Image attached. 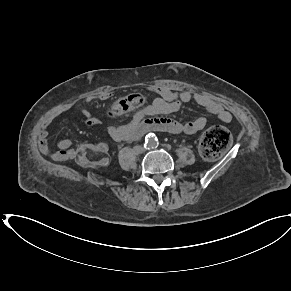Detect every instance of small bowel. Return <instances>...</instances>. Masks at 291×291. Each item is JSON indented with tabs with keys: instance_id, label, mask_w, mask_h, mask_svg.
<instances>
[{
	"instance_id": "1",
	"label": "small bowel",
	"mask_w": 291,
	"mask_h": 291,
	"mask_svg": "<svg viewBox=\"0 0 291 291\" xmlns=\"http://www.w3.org/2000/svg\"><path fill=\"white\" fill-rule=\"evenodd\" d=\"M148 91L156 97L149 105L139 107L134 110L129 122L120 125H113L107 128L108 134L116 142H131L146 132L156 130L165 131L174 134H195L203 130L207 125V118L197 117L188 122L166 117L180 111L182 106L188 102H195L204 108L209 114L216 116L223 123L232 121L231 113L219 102L212 99L204 93H193L189 90L172 91L164 86H151ZM114 97L113 92H104L96 97H88L65 105L59 110L49 114L43 121L38 133V146L40 151L54 161L71 160L75 157V151L72 148L70 139H60L56 142L58 151L51 149L47 143L50 125L63 113L69 110H75L82 114V121L87 126H93L98 123L95 117L87 108V105L95 100L107 101ZM99 146L104 152L107 151V145L100 143Z\"/></svg>"
}]
</instances>
